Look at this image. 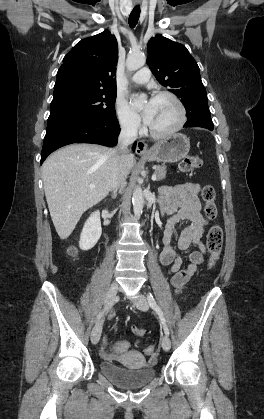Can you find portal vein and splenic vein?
<instances>
[{
  "label": "portal vein and splenic vein",
  "mask_w": 264,
  "mask_h": 419,
  "mask_svg": "<svg viewBox=\"0 0 264 419\" xmlns=\"http://www.w3.org/2000/svg\"><path fill=\"white\" fill-rule=\"evenodd\" d=\"M156 179H157V176H156V174L154 173L153 175H152V180L153 181H156ZM95 187V185H90V188H94Z\"/></svg>",
  "instance_id": "18ae733b"
}]
</instances>
